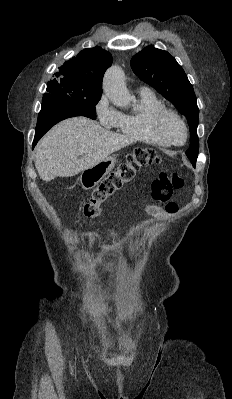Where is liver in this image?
Here are the masks:
<instances>
[{"instance_id":"obj_1","label":"liver","mask_w":232,"mask_h":399,"mask_svg":"<svg viewBox=\"0 0 232 399\" xmlns=\"http://www.w3.org/2000/svg\"><path fill=\"white\" fill-rule=\"evenodd\" d=\"M130 144V138L109 132L93 120L70 118L54 126L37 144L36 170L44 182H51L56 176H76ZM81 146L89 148L83 158L79 154Z\"/></svg>"}]
</instances>
